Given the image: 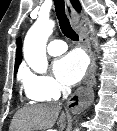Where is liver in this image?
Returning <instances> with one entry per match:
<instances>
[{
  "instance_id": "liver-1",
  "label": "liver",
  "mask_w": 117,
  "mask_h": 131,
  "mask_svg": "<svg viewBox=\"0 0 117 131\" xmlns=\"http://www.w3.org/2000/svg\"><path fill=\"white\" fill-rule=\"evenodd\" d=\"M61 107L55 104L35 105L24 107L17 111L11 125L10 131H43L54 126ZM66 115L63 112L57 124L61 127Z\"/></svg>"
}]
</instances>
